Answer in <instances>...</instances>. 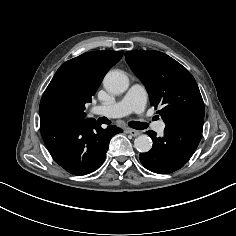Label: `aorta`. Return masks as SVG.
I'll return each instance as SVG.
<instances>
[{"label":"aorta","instance_id":"762f6f07","mask_svg":"<svg viewBox=\"0 0 236 236\" xmlns=\"http://www.w3.org/2000/svg\"><path fill=\"white\" fill-rule=\"evenodd\" d=\"M103 85L108 92L121 94L128 89L129 79L124 72L112 70L105 75ZM134 146L139 152L146 153L152 148V140L148 135L143 134L135 139Z\"/></svg>","mask_w":236,"mask_h":236}]
</instances>
